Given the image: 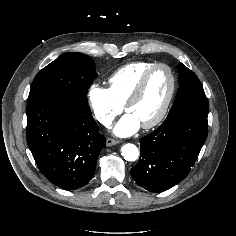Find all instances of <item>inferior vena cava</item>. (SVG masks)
<instances>
[{
    "label": "inferior vena cava",
    "mask_w": 236,
    "mask_h": 236,
    "mask_svg": "<svg viewBox=\"0 0 236 236\" xmlns=\"http://www.w3.org/2000/svg\"><path fill=\"white\" fill-rule=\"evenodd\" d=\"M99 121L106 127H109L112 123V120L107 116H102Z\"/></svg>",
    "instance_id": "inferior-vena-cava-1"
}]
</instances>
